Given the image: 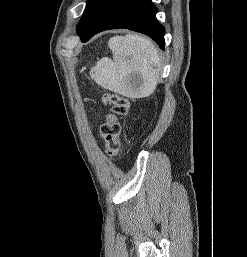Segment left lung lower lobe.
I'll use <instances>...</instances> for the list:
<instances>
[{
	"label": "left lung lower lobe",
	"mask_w": 247,
	"mask_h": 257,
	"mask_svg": "<svg viewBox=\"0 0 247 257\" xmlns=\"http://www.w3.org/2000/svg\"><path fill=\"white\" fill-rule=\"evenodd\" d=\"M151 0H97L82 30V42L104 30L127 28L150 36L164 48V27Z\"/></svg>",
	"instance_id": "left-lung-lower-lobe-1"
}]
</instances>
